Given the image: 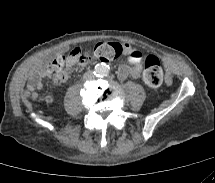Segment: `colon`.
I'll return each mask as SVG.
<instances>
[{
  "label": "colon",
  "instance_id": "colon-1",
  "mask_svg": "<svg viewBox=\"0 0 215 183\" xmlns=\"http://www.w3.org/2000/svg\"><path fill=\"white\" fill-rule=\"evenodd\" d=\"M124 51L121 44L116 42L100 41L95 44L93 51H82L79 48L71 52V56L79 63H87L93 60L100 62H111L116 60ZM70 55L64 53L56 54L49 63L48 70L53 75L62 74L68 65ZM144 73L143 77L150 87H158L162 83L163 72L158 57L152 54L143 55ZM52 96L48 97V100Z\"/></svg>",
  "mask_w": 215,
  "mask_h": 183
}]
</instances>
